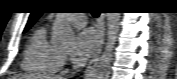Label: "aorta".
Instances as JSON below:
<instances>
[{"label":"aorta","mask_w":177,"mask_h":79,"mask_svg":"<svg viewBox=\"0 0 177 79\" xmlns=\"http://www.w3.org/2000/svg\"><path fill=\"white\" fill-rule=\"evenodd\" d=\"M107 42L99 58L93 79H108L110 74L113 50L120 28V13H107ZM53 42L57 45H70L74 40L72 28L63 21V15L58 13L52 29Z\"/></svg>","instance_id":"762f6f07"}]
</instances>
